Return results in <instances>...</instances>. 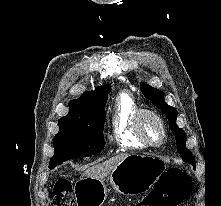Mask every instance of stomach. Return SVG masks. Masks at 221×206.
<instances>
[{
	"label": "stomach",
	"instance_id": "obj_1",
	"mask_svg": "<svg viewBox=\"0 0 221 206\" xmlns=\"http://www.w3.org/2000/svg\"><path fill=\"white\" fill-rule=\"evenodd\" d=\"M166 170L162 158L153 155H128L107 179L82 178L77 190L79 206H102L108 192V183L121 194L147 192Z\"/></svg>",
	"mask_w": 221,
	"mask_h": 206
}]
</instances>
